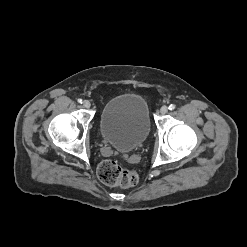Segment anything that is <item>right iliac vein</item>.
<instances>
[{"label":"right iliac vein","mask_w":247,"mask_h":247,"mask_svg":"<svg viewBox=\"0 0 247 247\" xmlns=\"http://www.w3.org/2000/svg\"><path fill=\"white\" fill-rule=\"evenodd\" d=\"M83 106H84L85 108H90V106H91L90 101H89V100H84V101H83Z\"/></svg>","instance_id":"obj_1"}]
</instances>
